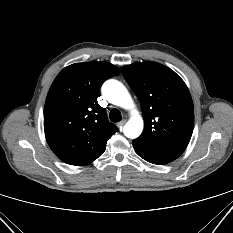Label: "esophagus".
Instances as JSON below:
<instances>
[{
	"label": "esophagus",
	"instance_id": "esophagus-1",
	"mask_svg": "<svg viewBox=\"0 0 233 233\" xmlns=\"http://www.w3.org/2000/svg\"><path fill=\"white\" fill-rule=\"evenodd\" d=\"M125 123H126V120H122V121H120L119 123H117V126H118L120 129H122V127L125 125Z\"/></svg>",
	"mask_w": 233,
	"mask_h": 233
}]
</instances>
